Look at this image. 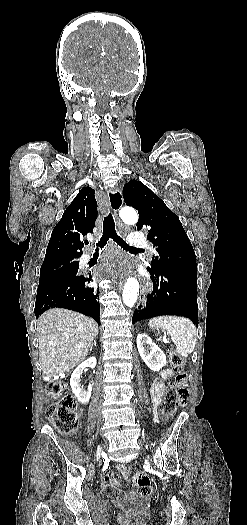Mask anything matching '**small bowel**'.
<instances>
[{"instance_id": "1", "label": "small bowel", "mask_w": 247, "mask_h": 525, "mask_svg": "<svg viewBox=\"0 0 247 525\" xmlns=\"http://www.w3.org/2000/svg\"><path fill=\"white\" fill-rule=\"evenodd\" d=\"M175 375L176 373L173 369H165L160 372L158 378L155 380L154 386L151 391V398H152V402L155 407L159 406V404L161 403L162 397L165 393V390H166L165 380ZM117 468L123 473L125 477L128 476L129 469L124 464L118 463ZM113 473H115V470H112V473L108 472L105 474L104 476L105 481L103 482V485L109 488V491L114 494L112 496V501L115 504H122L125 501V496L122 493H118L120 490V487H119L120 481L115 478ZM104 494H107V491H104ZM126 495L131 497L133 496V492L127 491Z\"/></svg>"}]
</instances>
